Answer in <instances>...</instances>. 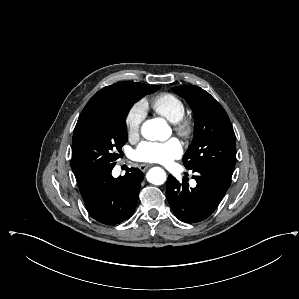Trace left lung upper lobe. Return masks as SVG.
Instances as JSON below:
<instances>
[{"label": "left lung upper lobe", "mask_w": 299, "mask_h": 299, "mask_svg": "<svg viewBox=\"0 0 299 299\" xmlns=\"http://www.w3.org/2000/svg\"><path fill=\"white\" fill-rule=\"evenodd\" d=\"M172 91L185 98L195 116L194 138L183 157L185 168H212L232 177L236 139L223 107L208 92L194 85L173 87Z\"/></svg>", "instance_id": "5c2ea615"}]
</instances>
